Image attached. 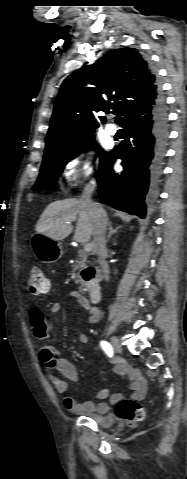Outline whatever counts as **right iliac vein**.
Listing matches in <instances>:
<instances>
[{
	"label": "right iliac vein",
	"instance_id": "63e3f726",
	"mask_svg": "<svg viewBox=\"0 0 187 479\" xmlns=\"http://www.w3.org/2000/svg\"><path fill=\"white\" fill-rule=\"evenodd\" d=\"M111 345L116 352H121L122 351V346H121L117 337H115V336L111 337Z\"/></svg>",
	"mask_w": 187,
	"mask_h": 479
}]
</instances>
